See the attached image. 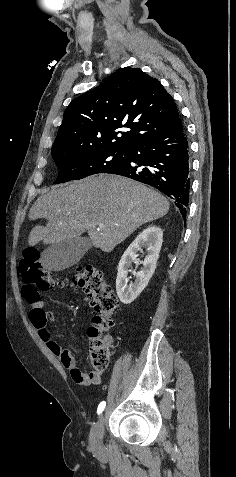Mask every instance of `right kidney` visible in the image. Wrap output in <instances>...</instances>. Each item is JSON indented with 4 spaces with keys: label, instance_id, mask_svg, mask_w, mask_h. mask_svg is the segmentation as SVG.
<instances>
[{
    "label": "right kidney",
    "instance_id": "1",
    "mask_svg": "<svg viewBox=\"0 0 236 477\" xmlns=\"http://www.w3.org/2000/svg\"><path fill=\"white\" fill-rule=\"evenodd\" d=\"M163 232L158 226H149L130 244L121 257L118 265L116 278V291L120 301L123 304H130L147 286L155 269L159 252L162 246ZM147 248V255L143 261H140V271H134V282H129L128 272L132 262H136L138 252L142 247Z\"/></svg>",
    "mask_w": 236,
    "mask_h": 477
}]
</instances>
